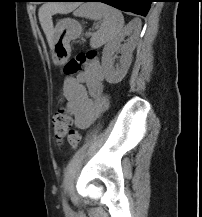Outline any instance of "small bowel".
I'll list each match as a JSON object with an SVG mask.
<instances>
[{
  "label": "small bowel",
  "instance_id": "small-bowel-1",
  "mask_svg": "<svg viewBox=\"0 0 202 217\" xmlns=\"http://www.w3.org/2000/svg\"><path fill=\"white\" fill-rule=\"evenodd\" d=\"M104 73L97 60L87 64L75 77H66L60 93L74 116L76 127L88 128L107 105L104 93Z\"/></svg>",
  "mask_w": 202,
  "mask_h": 217
}]
</instances>
